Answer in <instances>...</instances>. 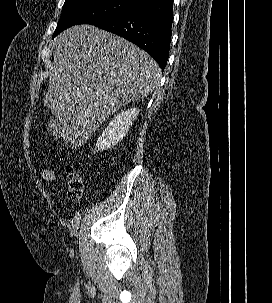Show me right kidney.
<instances>
[{"instance_id":"1","label":"right kidney","mask_w":272,"mask_h":303,"mask_svg":"<svg viewBox=\"0 0 272 303\" xmlns=\"http://www.w3.org/2000/svg\"><path fill=\"white\" fill-rule=\"evenodd\" d=\"M139 109L131 108L122 111L110 121L109 125L98 138L94 153L112 148L118 144L123 137L128 133L130 125L138 116Z\"/></svg>"}]
</instances>
